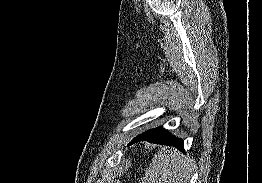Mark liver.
<instances>
[{
    "label": "liver",
    "mask_w": 262,
    "mask_h": 183,
    "mask_svg": "<svg viewBox=\"0 0 262 183\" xmlns=\"http://www.w3.org/2000/svg\"><path fill=\"white\" fill-rule=\"evenodd\" d=\"M189 170L184 154L175 148L163 147L146 168L141 183H187Z\"/></svg>",
    "instance_id": "obj_1"
}]
</instances>
